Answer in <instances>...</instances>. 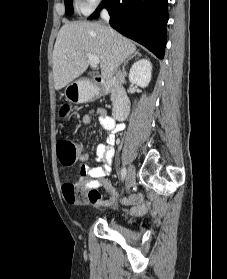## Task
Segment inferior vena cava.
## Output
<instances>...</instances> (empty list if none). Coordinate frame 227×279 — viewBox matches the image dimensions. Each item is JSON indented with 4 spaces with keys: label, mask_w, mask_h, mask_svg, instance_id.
I'll use <instances>...</instances> for the list:
<instances>
[{
    "label": "inferior vena cava",
    "mask_w": 227,
    "mask_h": 279,
    "mask_svg": "<svg viewBox=\"0 0 227 279\" xmlns=\"http://www.w3.org/2000/svg\"><path fill=\"white\" fill-rule=\"evenodd\" d=\"M101 18L104 19L107 22L109 21L110 17H109L108 12L106 10H103L101 12ZM116 77L121 83L125 82V75L120 70L116 72Z\"/></svg>",
    "instance_id": "obj_1"
}]
</instances>
